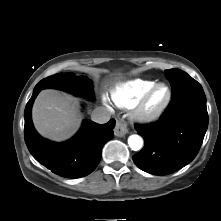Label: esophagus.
Here are the masks:
<instances>
[{
    "label": "esophagus",
    "instance_id": "34e87169",
    "mask_svg": "<svg viewBox=\"0 0 221 221\" xmlns=\"http://www.w3.org/2000/svg\"><path fill=\"white\" fill-rule=\"evenodd\" d=\"M128 132L126 124L120 120L116 121V125L114 128V134L117 137H123Z\"/></svg>",
    "mask_w": 221,
    "mask_h": 221
}]
</instances>
